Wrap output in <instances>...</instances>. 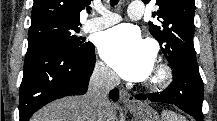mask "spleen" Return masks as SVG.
Here are the masks:
<instances>
[{"label": "spleen", "mask_w": 217, "mask_h": 121, "mask_svg": "<svg viewBox=\"0 0 217 121\" xmlns=\"http://www.w3.org/2000/svg\"><path fill=\"white\" fill-rule=\"evenodd\" d=\"M162 121H186V119L172 111H166L162 115Z\"/></svg>", "instance_id": "3e777b00"}]
</instances>
